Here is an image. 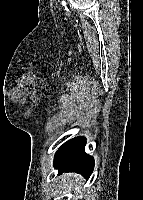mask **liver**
<instances>
[{"label": "liver", "instance_id": "6515ba94", "mask_svg": "<svg viewBox=\"0 0 143 200\" xmlns=\"http://www.w3.org/2000/svg\"><path fill=\"white\" fill-rule=\"evenodd\" d=\"M83 178L75 173H67L61 176V181L58 183V193L60 196H65L67 192H72L76 194V196H73V200H76V197L78 195L79 190L81 191L82 185H83ZM84 191V189H82Z\"/></svg>", "mask_w": 143, "mask_h": 200}]
</instances>
